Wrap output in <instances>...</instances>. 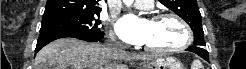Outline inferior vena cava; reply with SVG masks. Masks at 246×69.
I'll use <instances>...</instances> for the list:
<instances>
[{
  "label": "inferior vena cava",
  "mask_w": 246,
  "mask_h": 69,
  "mask_svg": "<svg viewBox=\"0 0 246 69\" xmlns=\"http://www.w3.org/2000/svg\"><path fill=\"white\" fill-rule=\"evenodd\" d=\"M109 47L113 48V49H119V50H122V47H120L119 45L113 43V42H110L108 44Z\"/></svg>",
  "instance_id": "602c4592"
}]
</instances>
